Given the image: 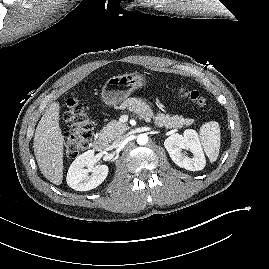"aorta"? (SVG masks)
<instances>
[{"label":"aorta","instance_id":"1","mask_svg":"<svg viewBox=\"0 0 269 269\" xmlns=\"http://www.w3.org/2000/svg\"><path fill=\"white\" fill-rule=\"evenodd\" d=\"M137 143L139 145H145L148 143V136L146 134H140L137 136Z\"/></svg>","mask_w":269,"mask_h":269}]
</instances>
